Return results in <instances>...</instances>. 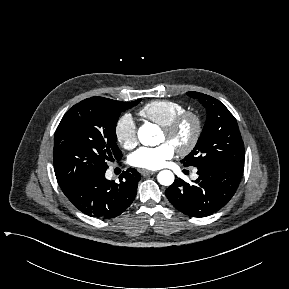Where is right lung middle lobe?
Returning a JSON list of instances; mask_svg holds the SVG:
<instances>
[{"label": "right lung middle lobe", "instance_id": "obj_1", "mask_svg": "<svg viewBox=\"0 0 289 289\" xmlns=\"http://www.w3.org/2000/svg\"><path fill=\"white\" fill-rule=\"evenodd\" d=\"M140 101L103 102L88 98L67 111L54 136V171L62 190L105 172L107 160L122 157L116 144V123L121 112Z\"/></svg>", "mask_w": 289, "mask_h": 289}]
</instances>
